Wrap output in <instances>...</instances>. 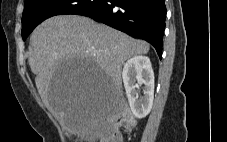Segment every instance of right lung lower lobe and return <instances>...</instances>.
<instances>
[{
	"label": "right lung lower lobe",
	"instance_id": "98d812e1",
	"mask_svg": "<svg viewBox=\"0 0 227 142\" xmlns=\"http://www.w3.org/2000/svg\"><path fill=\"white\" fill-rule=\"evenodd\" d=\"M77 15L87 16L151 43L159 57L165 29L164 0H105Z\"/></svg>",
	"mask_w": 227,
	"mask_h": 142
}]
</instances>
